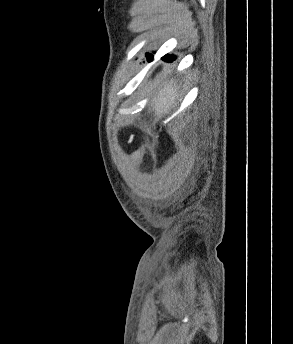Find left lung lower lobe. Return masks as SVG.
I'll return each mask as SVG.
<instances>
[{"label": "left lung lower lobe", "instance_id": "1", "mask_svg": "<svg viewBox=\"0 0 293 344\" xmlns=\"http://www.w3.org/2000/svg\"><path fill=\"white\" fill-rule=\"evenodd\" d=\"M146 56H147V58H148L149 60H151L152 57H153L151 54H147ZM162 59L165 60V61H167V62H172L173 60L176 59V57L173 56V55H170V56L165 55V56L162 57Z\"/></svg>", "mask_w": 293, "mask_h": 344}]
</instances>
